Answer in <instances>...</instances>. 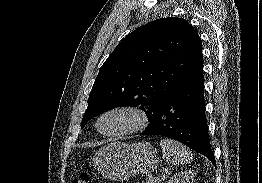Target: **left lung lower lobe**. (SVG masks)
I'll use <instances>...</instances> for the list:
<instances>
[{
    "instance_id": "1",
    "label": "left lung lower lobe",
    "mask_w": 262,
    "mask_h": 183,
    "mask_svg": "<svg viewBox=\"0 0 262 183\" xmlns=\"http://www.w3.org/2000/svg\"><path fill=\"white\" fill-rule=\"evenodd\" d=\"M141 135H160L180 141L206 156L215 166L205 116L202 55L161 103Z\"/></svg>"
}]
</instances>
